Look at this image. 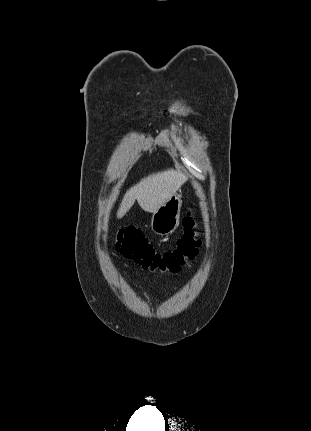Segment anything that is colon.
<instances>
[{"mask_svg": "<svg viewBox=\"0 0 311 431\" xmlns=\"http://www.w3.org/2000/svg\"><path fill=\"white\" fill-rule=\"evenodd\" d=\"M183 234L175 248L157 251L143 236L133 228L121 229L117 233L116 250L124 257L132 259L144 269L176 273L198 254L200 240L197 224L189 211L183 219Z\"/></svg>", "mask_w": 311, "mask_h": 431, "instance_id": "1", "label": "colon"}]
</instances>
